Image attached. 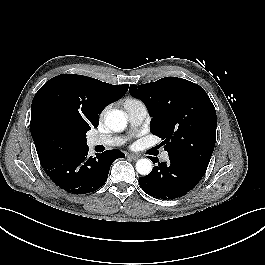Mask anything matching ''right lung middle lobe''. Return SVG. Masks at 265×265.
I'll return each mask as SVG.
<instances>
[{"label": "right lung middle lobe", "mask_w": 265, "mask_h": 265, "mask_svg": "<svg viewBox=\"0 0 265 265\" xmlns=\"http://www.w3.org/2000/svg\"><path fill=\"white\" fill-rule=\"evenodd\" d=\"M35 146L40 160L76 149L71 132L53 118H42L35 129Z\"/></svg>", "instance_id": "right-lung-middle-lobe-1"}]
</instances>
